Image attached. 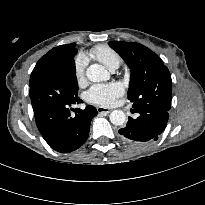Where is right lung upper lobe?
I'll list each match as a JSON object with an SVG mask.
<instances>
[{"instance_id": "obj_1", "label": "right lung upper lobe", "mask_w": 205, "mask_h": 205, "mask_svg": "<svg viewBox=\"0 0 205 205\" xmlns=\"http://www.w3.org/2000/svg\"><path fill=\"white\" fill-rule=\"evenodd\" d=\"M76 51L75 44L61 45L50 50L34 67L30 77V84L47 71L59 69L68 60H74Z\"/></svg>"}]
</instances>
